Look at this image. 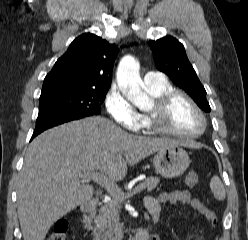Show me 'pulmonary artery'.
I'll return each instance as SVG.
<instances>
[{
  "mask_svg": "<svg viewBox=\"0 0 248 240\" xmlns=\"http://www.w3.org/2000/svg\"><path fill=\"white\" fill-rule=\"evenodd\" d=\"M164 80V75L157 71H147L143 77V81L145 84L160 83Z\"/></svg>",
  "mask_w": 248,
  "mask_h": 240,
  "instance_id": "pulmonary-artery-1",
  "label": "pulmonary artery"
}]
</instances>
